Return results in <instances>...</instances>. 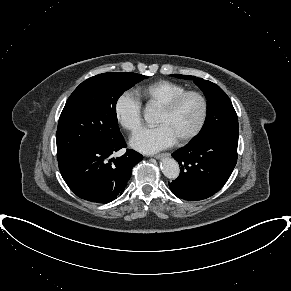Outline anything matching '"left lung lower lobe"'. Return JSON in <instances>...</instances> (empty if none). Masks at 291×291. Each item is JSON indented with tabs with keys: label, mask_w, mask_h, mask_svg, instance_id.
<instances>
[{
	"label": "left lung lower lobe",
	"mask_w": 291,
	"mask_h": 291,
	"mask_svg": "<svg viewBox=\"0 0 291 291\" xmlns=\"http://www.w3.org/2000/svg\"><path fill=\"white\" fill-rule=\"evenodd\" d=\"M238 136V131H220L174 152L181 170L179 177L169 182L174 195L195 201L220 190L236 165Z\"/></svg>",
	"instance_id": "1"
}]
</instances>
